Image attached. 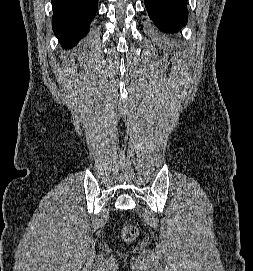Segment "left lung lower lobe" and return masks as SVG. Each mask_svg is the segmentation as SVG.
<instances>
[{
	"label": "left lung lower lobe",
	"mask_w": 253,
	"mask_h": 271,
	"mask_svg": "<svg viewBox=\"0 0 253 271\" xmlns=\"http://www.w3.org/2000/svg\"><path fill=\"white\" fill-rule=\"evenodd\" d=\"M150 18L163 31L175 32L187 23V0H144Z\"/></svg>",
	"instance_id": "left-lung-lower-lobe-1"
}]
</instances>
